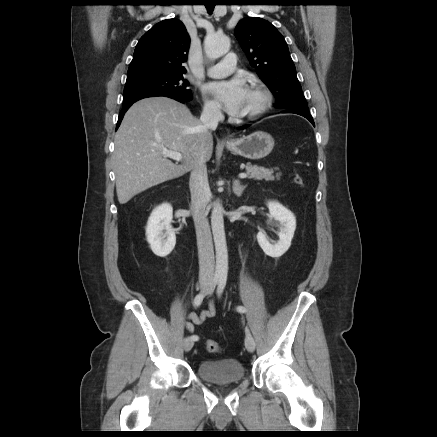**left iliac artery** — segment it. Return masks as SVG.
Listing matches in <instances>:
<instances>
[{"label":"left iliac artery","mask_w":437,"mask_h":437,"mask_svg":"<svg viewBox=\"0 0 437 437\" xmlns=\"http://www.w3.org/2000/svg\"><path fill=\"white\" fill-rule=\"evenodd\" d=\"M226 281H227L226 277H221V278H220V280H219V284H218V288H217V294H218V296H221V295H222V293H223V291H224V288H225V286H226ZM237 311H239V312H246V308L243 307V306H238V307H237Z\"/></svg>","instance_id":"left-iliac-artery-1"}]
</instances>
